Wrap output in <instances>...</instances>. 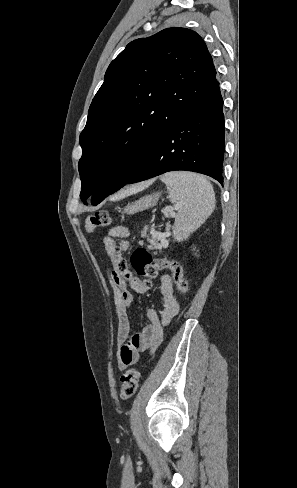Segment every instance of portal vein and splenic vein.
Returning a JSON list of instances; mask_svg holds the SVG:
<instances>
[{"mask_svg": "<svg viewBox=\"0 0 297 488\" xmlns=\"http://www.w3.org/2000/svg\"><path fill=\"white\" fill-rule=\"evenodd\" d=\"M177 207V206H176ZM170 211V215L173 216V208L172 207H167L163 210L164 213H166V215H168V212Z\"/></svg>", "mask_w": 297, "mask_h": 488, "instance_id": "obj_1", "label": "portal vein and splenic vein"}]
</instances>
